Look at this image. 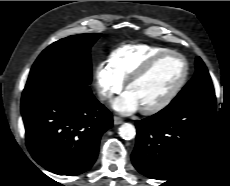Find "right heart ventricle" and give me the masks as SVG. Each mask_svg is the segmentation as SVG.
<instances>
[{
  "label": "right heart ventricle",
  "mask_w": 230,
  "mask_h": 186,
  "mask_svg": "<svg viewBox=\"0 0 230 186\" xmlns=\"http://www.w3.org/2000/svg\"><path fill=\"white\" fill-rule=\"evenodd\" d=\"M167 50V48L149 44H127L111 52L108 64L112 71L125 82L148 59Z\"/></svg>",
  "instance_id": "obj_1"
}]
</instances>
